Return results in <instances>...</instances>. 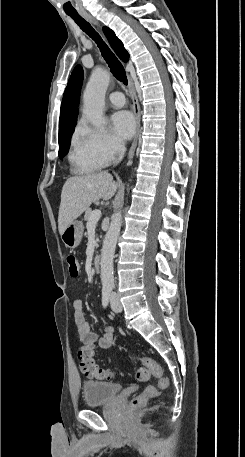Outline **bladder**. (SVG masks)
Listing matches in <instances>:
<instances>
[{
  "label": "bladder",
  "instance_id": "obj_1",
  "mask_svg": "<svg viewBox=\"0 0 245 457\" xmlns=\"http://www.w3.org/2000/svg\"><path fill=\"white\" fill-rule=\"evenodd\" d=\"M85 406H93L110 402L113 395H118L121 385L113 382H84Z\"/></svg>",
  "mask_w": 245,
  "mask_h": 457
}]
</instances>
